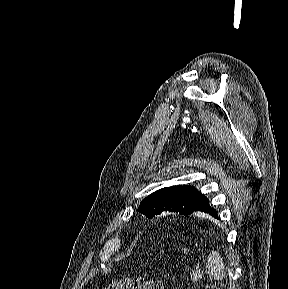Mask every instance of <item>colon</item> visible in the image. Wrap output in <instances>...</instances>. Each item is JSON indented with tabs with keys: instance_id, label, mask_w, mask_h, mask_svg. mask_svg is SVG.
I'll return each instance as SVG.
<instances>
[{
	"instance_id": "obj_1",
	"label": "colon",
	"mask_w": 288,
	"mask_h": 289,
	"mask_svg": "<svg viewBox=\"0 0 288 289\" xmlns=\"http://www.w3.org/2000/svg\"><path fill=\"white\" fill-rule=\"evenodd\" d=\"M100 289H163V285L158 279L124 276L110 281Z\"/></svg>"
}]
</instances>
